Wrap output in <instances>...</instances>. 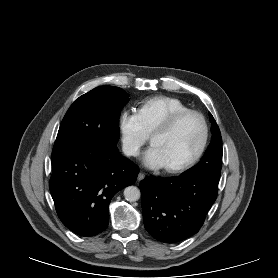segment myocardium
<instances>
[{"label": "myocardium", "mask_w": 278, "mask_h": 278, "mask_svg": "<svg viewBox=\"0 0 278 278\" xmlns=\"http://www.w3.org/2000/svg\"><path fill=\"white\" fill-rule=\"evenodd\" d=\"M189 116L197 117L201 122L203 132H202V139H201L200 145H199L198 149L196 150V152L187 160H185L179 164H176V165L165 166V170L169 173H179V172L185 171V170L189 169L190 167H192L202 157V155L204 154V152L206 150L208 140H209V134H210L207 120L202 113L189 109V110L178 112V113L174 114L169 119H167L165 122H163L162 124L157 126L151 132L150 140L152 142V139L155 135L170 132L180 123V121H182L184 118L189 117Z\"/></svg>", "instance_id": "f54148a6"}]
</instances>
